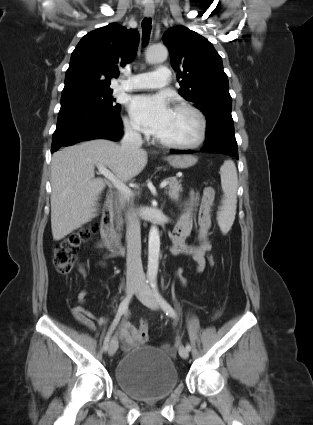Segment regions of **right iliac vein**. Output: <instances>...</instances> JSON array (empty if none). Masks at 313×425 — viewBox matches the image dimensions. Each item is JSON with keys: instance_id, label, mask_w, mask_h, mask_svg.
Instances as JSON below:
<instances>
[{"instance_id": "right-iliac-vein-1", "label": "right iliac vein", "mask_w": 313, "mask_h": 425, "mask_svg": "<svg viewBox=\"0 0 313 425\" xmlns=\"http://www.w3.org/2000/svg\"><path fill=\"white\" fill-rule=\"evenodd\" d=\"M139 287V283L137 282H129L126 286V294L127 296H130L131 294H133V292L138 289ZM118 349V342L117 340L114 338L110 341L109 344V349H108V353L110 356H113L115 354V352Z\"/></svg>"}]
</instances>
